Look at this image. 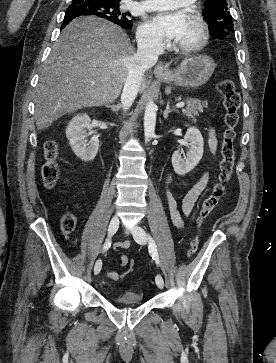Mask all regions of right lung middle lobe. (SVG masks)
Instances as JSON below:
<instances>
[{
  "instance_id": "right-lung-middle-lobe-1",
  "label": "right lung middle lobe",
  "mask_w": 276,
  "mask_h": 363,
  "mask_svg": "<svg viewBox=\"0 0 276 363\" xmlns=\"http://www.w3.org/2000/svg\"><path fill=\"white\" fill-rule=\"evenodd\" d=\"M119 3L101 1V0H73L72 4L66 10V14L84 11L90 15L108 19L119 25H131L129 20L130 14L119 12Z\"/></svg>"
}]
</instances>
